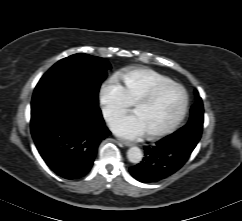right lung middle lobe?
<instances>
[{
	"label": "right lung middle lobe",
	"instance_id": "right-lung-middle-lobe-1",
	"mask_svg": "<svg viewBox=\"0 0 242 221\" xmlns=\"http://www.w3.org/2000/svg\"><path fill=\"white\" fill-rule=\"evenodd\" d=\"M110 64L100 57L78 53L58 61L38 82L32 104L72 93L87 107H98V92Z\"/></svg>",
	"mask_w": 242,
	"mask_h": 221
}]
</instances>
